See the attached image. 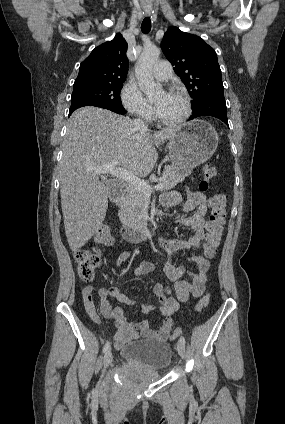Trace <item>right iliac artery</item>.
<instances>
[{
	"label": "right iliac artery",
	"instance_id": "obj_1",
	"mask_svg": "<svg viewBox=\"0 0 285 424\" xmlns=\"http://www.w3.org/2000/svg\"><path fill=\"white\" fill-rule=\"evenodd\" d=\"M109 348H110V343L107 342L103 347V353L107 352Z\"/></svg>",
	"mask_w": 285,
	"mask_h": 424
}]
</instances>
